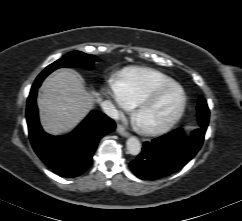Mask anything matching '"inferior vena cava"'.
<instances>
[{"instance_id":"1","label":"inferior vena cava","mask_w":242,"mask_h":221,"mask_svg":"<svg viewBox=\"0 0 242 221\" xmlns=\"http://www.w3.org/2000/svg\"><path fill=\"white\" fill-rule=\"evenodd\" d=\"M101 107L104 113L109 117H111L112 119L117 120L119 118V112L111 101L109 100L103 101L101 103Z\"/></svg>"}]
</instances>
